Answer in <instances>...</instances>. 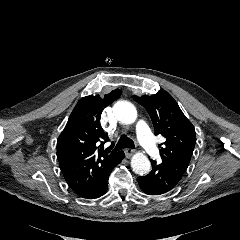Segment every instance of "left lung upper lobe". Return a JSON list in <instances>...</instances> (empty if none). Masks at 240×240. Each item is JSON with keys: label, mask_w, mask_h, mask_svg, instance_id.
<instances>
[{"label": "left lung upper lobe", "mask_w": 240, "mask_h": 240, "mask_svg": "<svg viewBox=\"0 0 240 240\" xmlns=\"http://www.w3.org/2000/svg\"><path fill=\"white\" fill-rule=\"evenodd\" d=\"M133 97L148 111L155 128V135L161 134L166 138L163 146L159 145L162 158L160 164L182 178L196 142L192 123L166 91L160 90L152 96L134 95Z\"/></svg>", "instance_id": "left-lung-upper-lobe-1"}]
</instances>
